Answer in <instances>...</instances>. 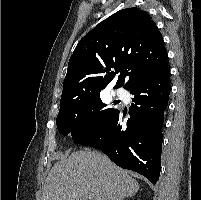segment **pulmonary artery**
<instances>
[{"label": "pulmonary artery", "mask_w": 201, "mask_h": 200, "mask_svg": "<svg viewBox=\"0 0 201 200\" xmlns=\"http://www.w3.org/2000/svg\"><path fill=\"white\" fill-rule=\"evenodd\" d=\"M114 94L118 97V98H123L125 96V92L123 90L117 89L114 91Z\"/></svg>", "instance_id": "pulmonary-artery-1"}]
</instances>
